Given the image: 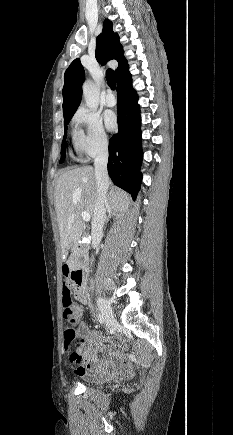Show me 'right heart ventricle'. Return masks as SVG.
I'll return each instance as SVG.
<instances>
[{
    "mask_svg": "<svg viewBox=\"0 0 233 435\" xmlns=\"http://www.w3.org/2000/svg\"><path fill=\"white\" fill-rule=\"evenodd\" d=\"M73 139H74L75 144L77 145L79 140H80V133L78 131L73 132Z\"/></svg>",
    "mask_w": 233,
    "mask_h": 435,
    "instance_id": "1",
    "label": "right heart ventricle"
}]
</instances>
